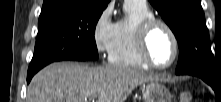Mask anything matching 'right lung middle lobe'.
I'll return each mask as SVG.
<instances>
[{"instance_id": "obj_1", "label": "right lung middle lobe", "mask_w": 221, "mask_h": 102, "mask_svg": "<svg viewBox=\"0 0 221 102\" xmlns=\"http://www.w3.org/2000/svg\"><path fill=\"white\" fill-rule=\"evenodd\" d=\"M105 7H92L84 1L41 11L34 55L28 73L47 64L70 58L95 60L96 24Z\"/></svg>"}]
</instances>
